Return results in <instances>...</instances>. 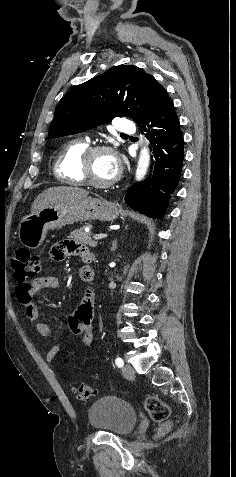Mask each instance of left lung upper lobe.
Wrapping results in <instances>:
<instances>
[{"label":"left lung upper lobe","instance_id":"1","mask_svg":"<svg viewBox=\"0 0 236 477\" xmlns=\"http://www.w3.org/2000/svg\"><path fill=\"white\" fill-rule=\"evenodd\" d=\"M162 86L142 69L119 65L70 90L56 107L48 137L83 132L115 117L141 124Z\"/></svg>","mask_w":236,"mask_h":477}]
</instances>
